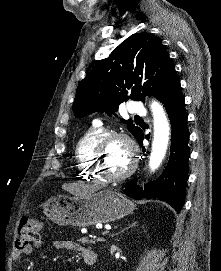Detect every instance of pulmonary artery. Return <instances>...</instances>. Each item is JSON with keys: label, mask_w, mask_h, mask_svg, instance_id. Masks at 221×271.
Masks as SVG:
<instances>
[{"label": "pulmonary artery", "mask_w": 221, "mask_h": 271, "mask_svg": "<svg viewBox=\"0 0 221 271\" xmlns=\"http://www.w3.org/2000/svg\"><path fill=\"white\" fill-rule=\"evenodd\" d=\"M143 102H127L126 112H143ZM91 127H99V122H91Z\"/></svg>", "instance_id": "e3ab8cb5"}]
</instances>
